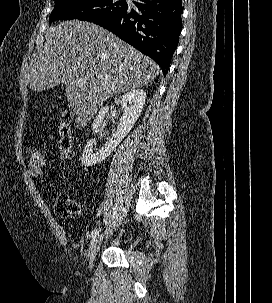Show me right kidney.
Wrapping results in <instances>:
<instances>
[{"instance_id": "right-kidney-1", "label": "right kidney", "mask_w": 272, "mask_h": 303, "mask_svg": "<svg viewBox=\"0 0 272 303\" xmlns=\"http://www.w3.org/2000/svg\"><path fill=\"white\" fill-rule=\"evenodd\" d=\"M145 100L146 93L141 89L131 90L121 96L120 104L122 105L123 115L116 131L101 148L96 150V152H93V146L96 145L97 140L95 138L89 140L80 158L81 165L85 167L93 166L104 161L112 153L122 139L133 128L143 110ZM108 115L109 106L102 107L92 125L94 133L101 131L105 118Z\"/></svg>"}]
</instances>
